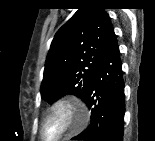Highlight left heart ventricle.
<instances>
[{"label": "left heart ventricle", "instance_id": "obj_1", "mask_svg": "<svg viewBox=\"0 0 155 141\" xmlns=\"http://www.w3.org/2000/svg\"><path fill=\"white\" fill-rule=\"evenodd\" d=\"M61 130V124L58 119H53L48 125L45 126L46 137H54Z\"/></svg>", "mask_w": 155, "mask_h": 141}]
</instances>
